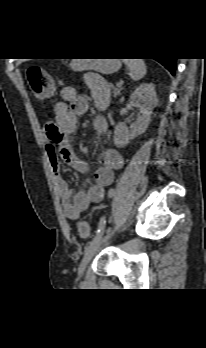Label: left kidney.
<instances>
[{
	"mask_svg": "<svg viewBox=\"0 0 206 348\" xmlns=\"http://www.w3.org/2000/svg\"><path fill=\"white\" fill-rule=\"evenodd\" d=\"M130 103L139 110L141 115L130 128L123 122L115 126L114 144L118 148L124 147L129 140L136 138L147 130L153 109L158 103L154 86L149 83L139 85L131 94Z\"/></svg>",
	"mask_w": 206,
	"mask_h": 348,
	"instance_id": "obj_1",
	"label": "left kidney"
}]
</instances>
